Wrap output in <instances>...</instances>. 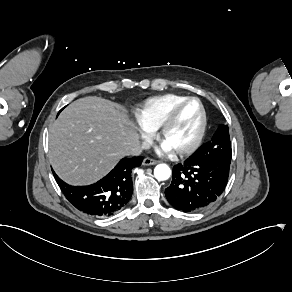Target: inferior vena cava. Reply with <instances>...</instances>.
Wrapping results in <instances>:
<instances>
[{
  "mask_svg": "<svg viewBox=\"0 0 292 292\" xmlns=\"http://www.w3.org/2000/svg\"><path fill=\"white\" fill-rule=\"evenodd\" d=\"M151 146V143L147 142V141H143L141 143V146L139 147H134L132 148L127 155H138L142 149H149Z\"/></svg>",
  "mask_w": 292,
  "mask_h": 292,
  "instance_id": "602c4592",
  "label": "inferior vena cava"
}]
</instances>
